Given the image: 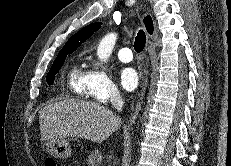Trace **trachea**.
Wrapping results in <instances>:
<instances>
[{
	"label": "trachea",
	"instance_id": "obj_1",
	"mask_svg": "<svg viewBox=\"0 0 231 166\" xmlns=\"http://www.w3.org/2000/svg\"><path fill=\"white\" fill-rule=\"evenodd\" d=\"M146 43V35L145 33L140 30L135 37V42H134V49L137 53H140L143 51Z\"/></svg>",
	"mask_w": 231,
	"mask_h": 166
}]
</instances>
